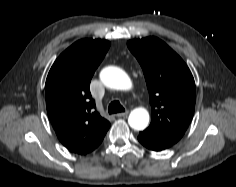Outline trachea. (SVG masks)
Listing matches in <instances>:
<instances>
[{"instance_id":"3493384b","label":"trachea","mask_w":236,"mask_h":187,"mask_svg":"<svg viewBox=\"0 0 236 187\" xmlns=\"http://www.w3.org/2000/svg\"><path fill=\"white\" fill-rule=\"evenodd\" d=\"M124 111H125L124 107L117 100L109 104V107H108L109 114H114V113H119V112H124Z\"/></svg>"}]
</instances>
